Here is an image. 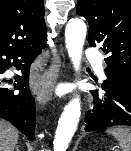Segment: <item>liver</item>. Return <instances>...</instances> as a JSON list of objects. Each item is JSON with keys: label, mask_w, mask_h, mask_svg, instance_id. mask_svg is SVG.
<instances>
[{"label": "liver", "mask_w": 131, "mask_h": 151, "mask_svg": "<svg viewBox=\"0 0 131 151\" xmlns=\"http://www.w3.org/2000/svg\"><path fill=\"white\" fill-rule=\"evenodd\" d=\"M19 134L10 123L0 120V151H14Z\"/></svg>", "instance_id": "1"}]
</instances>
